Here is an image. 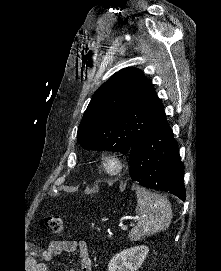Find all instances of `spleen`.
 <instances>
[{
  "label": "spleen",
  "mask_w": 221,
  "mask_h": 271,
  "mask_svg": "<svg viewBox=\"0 0 221 271\" xmlns=\"http://www.w3.org/2000/svg\"><path fill=\"white\" fill-rule=\"evenodd\" d=\"M136 193L137 223L128 233L131 241H138L141 237L167 229L172 217V207L167 197L146 191L144 187H137Z\"/></svg>",
  "instance_id": "3e777b00"
}]
</instances>
